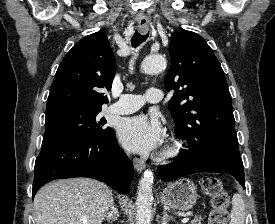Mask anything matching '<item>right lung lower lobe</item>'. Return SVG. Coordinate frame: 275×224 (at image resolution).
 Wrapping results in <instances>:
<instances>
[{
	"label": "right lung lower lobe",
	"instance_id": "obj_1",
	"mask_svg": "<svg viewBox=\"0 0 275 224\" xmlns=\"http://www.w3.org/2000/svg\"><path fill=\"white\" fill-rule=\"evenodd\" d=\"M133 172L113 130L98 140H43L34 167L32 198L44 184L74 177L93 178L128 193Z\"/></svg>",
	"mask_w": 275,
	"mask_h": 224
}]
</instances>
